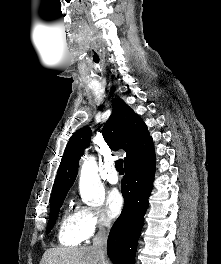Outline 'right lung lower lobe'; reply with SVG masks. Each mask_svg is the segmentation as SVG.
Wrapping results in <instances>:
<instances>
[{
    "mask_svg": "<svg viewBox=\"0 0 221 264\" xmlns=\"http://www.w3.org/2000/svg\"><path fill=\"white\" fill-rule=\"evenodd\" d=\"M122 194L125 207L113 224L107 242V254L113 264H134L137 241L148 208L155 173V155L146 161L125 167Z\"/></svg>",
    "mask_w": 221,
    "mask_h": 264,
    "instance_id": "obj_1",
    "label": "right lung lower lobe"
}]
</instances>
